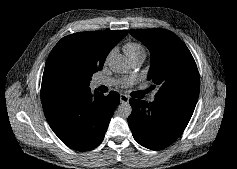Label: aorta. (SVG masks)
Here are the masks:
<instances>
[{"mask_svg": "<svg viewBox=\"0 0 237 169\" xmlns=\"http://www.w3.org/2000/svg\"><path fill=\"white\" fill-rule=\"evenodd\" d=\"M108 66L112 72L117 74L127 73L131 68L127 57L121 54L110 57ZM116 112L119 117L128 118L132 113V107L128 102L123 101L118 105Z\"/></svg>", "mask_w": 237, "mask_h": 169, "instance_id": "1", "label": "aorta"}]
</instances>
